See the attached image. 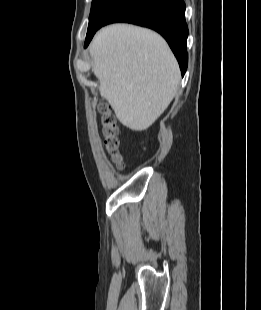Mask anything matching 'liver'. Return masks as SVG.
<instances>
[{
	"mask_svg": "<svg viewBox=\"0 0 261 310\" xmlns=\"http://www.w3.org/2000/svg\"><path fill=\"white\" fill-rule=\"evenodd\" d=\"M103 98L133 131L148 129L177 93L179 65L156 32L128 24L102 28L90 46Z\"/></svg>",
	"mask_w": 261,
	"mask_h": 310,
	"instance_id": "1",
	"label": "liver"
}]
</instances>
